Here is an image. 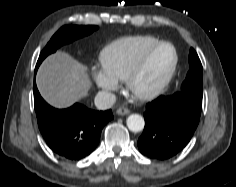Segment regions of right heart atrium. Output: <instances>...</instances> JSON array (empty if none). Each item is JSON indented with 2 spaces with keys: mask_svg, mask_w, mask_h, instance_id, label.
Wrapping results in <instances>:
<instances>
[{
  "mask_svg": "<svg viewBox=\"0 0 236 187\" xmlns=\"http://www.w3.org/2000/svg\"><path fill=\"white\" fill-rule=\"evenodd\" d=\"M91 75L96 85L108 95L113 94L119 88L118 79L102 67L93 66L91 68Z\"/></svg>",
  "mask_w": 236,
  "mask_h": 187,
  "instance_id": "d8ad5b80",
  "label": "right heart atrium"
}]
</instances>
